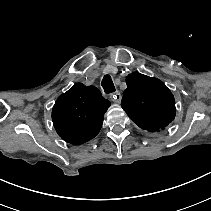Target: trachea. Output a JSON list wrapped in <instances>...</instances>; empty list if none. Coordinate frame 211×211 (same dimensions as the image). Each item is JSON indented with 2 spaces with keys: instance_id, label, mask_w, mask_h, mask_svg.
Returning a JSON list of instances; mask_svg holds the SVG:
<instances>
[{
  "instance_id": "3493384b",
  "label": "trachea",
  "mask_w": 211,
  "mask_h": 211,
  "mask_svg": "<svg viewBox=\"0 0 211 211\" xmlns=\"http://www.w3.org/2000/svg\"><path fill=\"white\" fill-rule=\"evenodd\" d=\"M102 87L105 93H113L115 91L114 84L112 82V78L109 74L104 75L102 79Z\"/></svg>"
}]
</instances>
